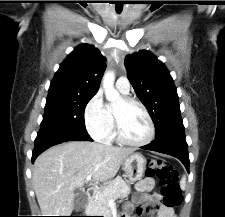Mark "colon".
I'll return each mask as SVG.
<instances>
[{
  "label": "colon",
  "instance_id": "obj_1",
  "mask_svg": "<svg viewBox=\"0 0 225 217\" xmlns=\"http://www.w3.org/2000/svg\"><path fill=\"white\" fill-rule=\"evenodd\" d=\"M147 177H157L162 187L163 204L169 208L179 207L183 197L179 186L178 172L168 162L161 159H151L147 164Z\"/></svg>",
  "mask_w": 225,
  "mask_h": 217
}]
</instances>
